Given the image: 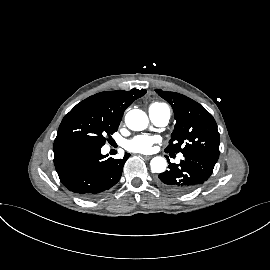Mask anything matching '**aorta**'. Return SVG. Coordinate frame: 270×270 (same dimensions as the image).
Segmentation results:
<instances>
[{"label": "aorta", "instance_id": "aorta-1", "mask_svg": "<svg viewBox=\"0 0 270 270\" xmlns=\"http://www.w3.org/2000/svg\"><path fill=\"white\" fill-rule=\"evenodd\" d=\"M127 127L133 131H142L148 126V117L145 112L139 109H133L127 112L125 116ZM151 170L155 173H162L166 170V159L161 156L154 157L150 162Z\"/></svg>", "mask_w": 270, "mask_h": 270}]
</instances>
